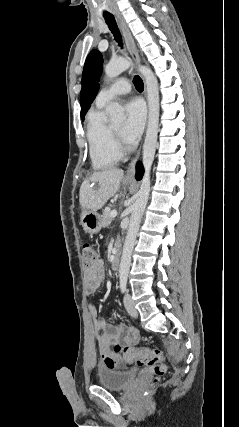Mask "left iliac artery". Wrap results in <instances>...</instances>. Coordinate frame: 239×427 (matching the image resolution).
<instances>
[{"label": "left iliac artery", "mask_w": 239, "mask_h": 427, "mask_svg": "<svg viewBox=\"0 0 239 427\" xmlns=\"http://www.w3.org/2000/svg\"><path fill=\"white\" fill-rule=\"evenodd\" d=\"M126 285H127V276H121L120 277V289L124 293L126 291Z\"/></svg>", "instance_id": "left-iliac-artery-1"}]
</instances>
